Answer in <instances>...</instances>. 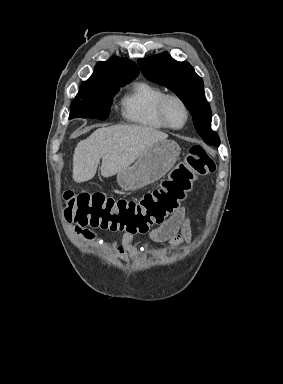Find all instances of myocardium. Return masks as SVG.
I'll return each mask as SVG.
<instances>
[{
  "label": "myocardium",
  "mask_w": 283,
  "mask_h": 384,
  "mask_svg": "<svg viewBox=\"0 0 283 384\" xmlns=\"http://www.w3.org/2000/svg\"><path fill=\"white\" fill-rule=\"evenodd\" d=\"M171 100L177 101L181 105V107L184 111V114H185L184 123L179 127L171 125L170 122L168 121V118L166 115L167 105ZM156 115H157L158 120L163 124V126H165L167 129H170V130H180V129L184 128L187 125L189 118H190V112H189V109H188L186 103L184 102V100L180 96H178L176 94H165L162 97V99L159 101V103L157 105Z\"/></svg>",
  "instance_id": "obj_1"
}]
</instances>
